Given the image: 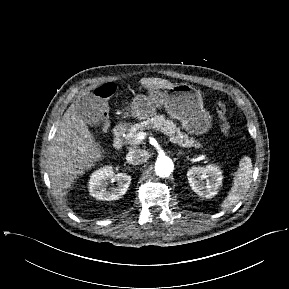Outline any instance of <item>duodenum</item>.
I'll use <instances>...</instances> for the list:
<instances>
[{"mask_svg": "<svg viewBox=\"0 0 289 289\" xmlns=\"http://www.w3.org/2000/svg\"><path fill=\"white\" fill-rule=\"evenodd\" d=\"M125 131L126 125L124 123H119L118 125L115 126L113 130V135H114V146L116 148L122 147Z\"/></svg>", "mask_w": 289, "mask_h": 289, "instance_id": "duodenum-1", "label": "duodenum"}]
</instances>
